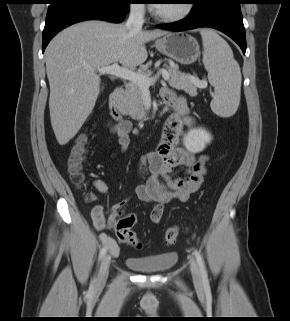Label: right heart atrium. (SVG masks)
I'll return each instance as SVG.
<instances>
[{"instance_id":"1","label":"right heart atrium","mask_w":290,"mask_h":321,"mask_svg":"<svg viewBox=\"0 0 290 321\" xmlns=\"http://www.w3.org/2000/svg\"><path fill=\"white\" fill-rule=\"evenodd\" d=\"M133 13L137 15H142L146 11L145 2L143 0H134L130 6Z\"/></svg>"}]
</instances>
